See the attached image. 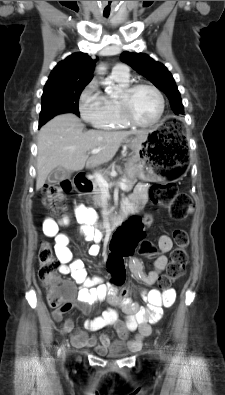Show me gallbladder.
Listing matches in <instances>:
<instances>
[{"instance_id":"1","label":"gallbladder","mask_w":225,"mask_h":395,"mask_svg":"<svg viewBox=\"0 0 225 395\" xmlns=\"http://www.w3.org/2000/svg\"><path fill=\"white\" fill-rule=\"evenodd\" d=\"M70 176V171H66L63 168H56L48 175L47 181L50 184H58L59 182L70 178Z\"/></svg>"}]
</instances>
